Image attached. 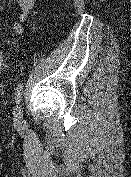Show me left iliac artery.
<instances>
[{"mask_svg": "<svg viewBox=\"0 0 131 177\" xmlns=\"http://www.w3.org/2000/svg\"><path fill=\"white\" fill-rule=\"evenodd\" d=\"M23 83H19L15 90V103L18 105L21 102L22 93H23Z\"/></svg>", "mask_w": 131, "mask_h": 177, "instance_id": "1", "label": "left iliac artery"}]
</instances>
